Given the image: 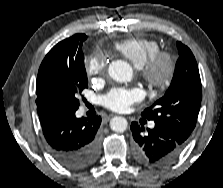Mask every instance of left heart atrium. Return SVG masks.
Returning a JSON list of instances; mask_svg holds the SVG:
<instances>
[{
  "label": "left heart atrium",
  "instance_id": "obj_1",
  "mask_svg": "<svg viewBox=\"0 0 223 188\" xmlns=\"http://www.w3.org/2000/svg\"><path fill=\"white\" fill-rule=\"evenodd\" d=\"M144 97L142 90L132 89H112L103 98L104 106L115 112L127 111L131 105L141 101Z\"/></svg>",
  "mask_w": 223,
  "mask_h": 188
}]
</instances>
